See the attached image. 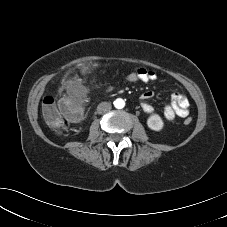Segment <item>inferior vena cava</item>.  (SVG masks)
<instances>
[{
	"mask_svg": "<svg viewBox=\"0 0 227 227\" xmlns=\"http://www.w3.org/2000/svg\"><path fill=\"white\" fill-rule=\"evenodd\" d=\"M112 108L111 103L109 102H101L98 106H97V112L99 114H104L108 111H110Z\"/></svg>",
	"mask_w": 227,
	"mask_h": 227,
	"instance_id": "inferior-vena-cava-1",
	"label": "inferior vena cava"
}]
</instances>
